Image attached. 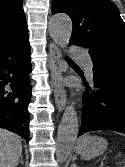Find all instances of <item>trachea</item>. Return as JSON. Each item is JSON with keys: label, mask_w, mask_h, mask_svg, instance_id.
<instances>
[{"label": "trachea", "mask_w": 125, "mask_h": 167, "mask_svg": "<svg viewBox=\"0 0 125 167\" xmlns=\"http://www.w3.org/2000/svg\"><path fill=\"white\" fill-rule=\"evenodd\" d=\"M66 60L69 61V62H72V60L70 58H66Z\"/></svg>", "instance_id": "obj_1"}]
</instances>
